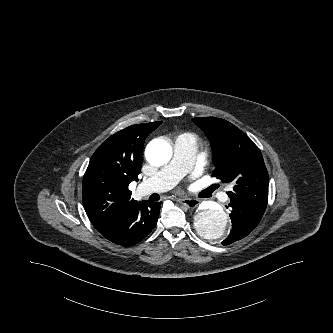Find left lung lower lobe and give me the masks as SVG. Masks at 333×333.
Returning a JSON list of instances; mask_svg holds the SVG:
<instances>
[{
  "label": "left lung lower lobe",
  "instance_id": "obj_1",
  "mask_svg": "<svg viewBox=\"0 0 333 333\" xmlns=\"http://www.w3.org/2000/svg\"><path fill=\"white\" fill-rule=\"evenodd\" d=\"M230 218L232 230L229 236L222 242L223 245L231 244L247 236L260 222L264 211L244 206L230 201Z\"/></svg>",
  "mask_w": 333,
  "mask_h": 333
}]
</instances>
